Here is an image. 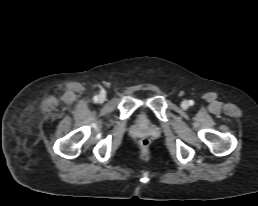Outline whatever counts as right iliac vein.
<instances>
[{"label":"right iliac vein","instance_id":"right-iliac-vein-1","mask_svg":"<svg viewBox=\"0 0 258 206\" xmlns=\"http://www.w3.org/2000/svg\"><path fill=\"white\" fill-rule=\"evenodd\" d=\"M98 101H99L100 103H103V102L105 101V95H103V94L99 95Z\"/></svg>","mask_w":258,"mask_h":206}]
</instances>
